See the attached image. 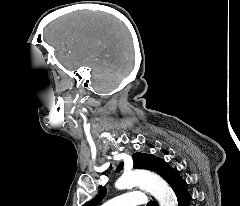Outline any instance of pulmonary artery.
<instances>
[{
    "instance_id": "obj_1",
    "label": "pulmonary artery",
    "mask_w": 240,
    "mask_h": 206,
    "mask_svg": "<svg viewBox=\"0 0 240 206\" xmlns=\"http://www.w3.org/2000/svg\"><path fill=\"white\" fill-rule=\"evenodd\" d=\"M146 203L145 195L140 191H130L119 195L102 206H137Z\"/></svg>"
}]
</instances>
